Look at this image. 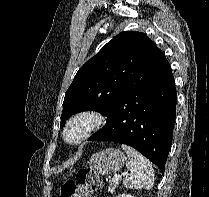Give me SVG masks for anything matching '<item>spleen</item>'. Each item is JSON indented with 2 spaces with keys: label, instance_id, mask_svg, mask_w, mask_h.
I'll return each instance as SVG.
<instances>
[{
  "label": "spleen",
  "instance_id": "1",
  "mask_svg": "<svg viewBox=\"0 0 209 197\" xmlns=\"http://www.w3.org/2000/svg\"><path fill=\"white\" fill-rule=\"evenodd\" d=\"M121 147L127 154L126 167L130 170V175L123 181L124 186L150 190L154 184V170L149 160L130 146L122 144Z\"/></svg>",
  "mask_w": 209,
  "mask_h": 197
}]
</instances>
